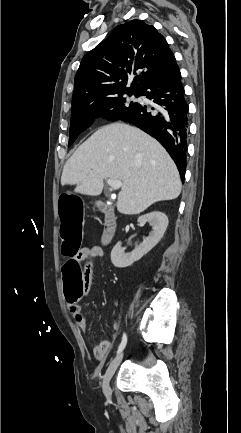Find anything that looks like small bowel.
Here are the masks:
<instances>
[{"label":"small bowel","mask_w":241,"mask_h":433,"mask_svg":"<svg viewBox=\"0 0 241 433\" xmlns=\"http://www.w3.org/2000/svg\"><path fill=\"white\" fill-rule=\"evenodd\" d=\"M103 256V250L99 246H90L83 248L75 257L78 266L80 262L86 261V267L84 273L82 275L84 281V290L88 292L91 288L95 261ZM80 267V266H79ZM68 310L74 319L77 327L83 332H88V322L85 316L82 313L81 307L79 305H67ZM119 328V323L117 320L114 322V329L117 330ZM111 349V342L108 340L101 341L99 344L94 346L93 354L94 358L98 361H103L108 352Z\"/></svg>","instance_id":"small-bowel-1"}]
</instances>
